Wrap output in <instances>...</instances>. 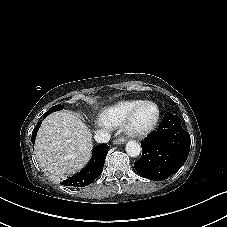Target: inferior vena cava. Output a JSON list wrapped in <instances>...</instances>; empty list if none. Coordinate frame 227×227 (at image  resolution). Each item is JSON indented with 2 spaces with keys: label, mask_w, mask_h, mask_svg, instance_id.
<instances>
[{
  "label": "inferior vena cava",
  "mask_w": 227,
  "mask_h": 227,
  "mask_svg": "<svg viewBox=\"0 0 227 227\" xmlns=\"http://www.w3.org/2000/svg\"><path fill=\"white\" fill-rule=\"evenodd\" d=\"M94 139L97 143H108L110 140V133L105 129L97 130Z\"/></svg>",
  "instance_id": "obj_1"
}]
</instances>
